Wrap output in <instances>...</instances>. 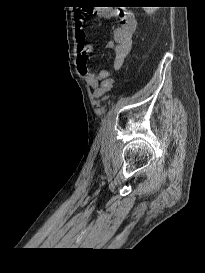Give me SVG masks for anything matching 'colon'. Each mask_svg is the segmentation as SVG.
Masks as SVG:
<instances>
[{"instance_id": "colon-1", "label": "colon", "mask_w": 205, "mask_h": 273, "mask_svg": "<svg viewBox=\"0 0 205 273\" xmlns=\"http://www.w3.org/2000/svg\"><path fill=\"white\" fill-rule=\"evenodd\" d=\"M113 84V80L112 79H107L103 82L101 88L98 90V95H102L104 93H106L107 91L110 90V88L112 87Z\"/></svg>"}]
</instances>
